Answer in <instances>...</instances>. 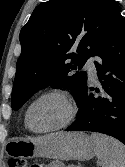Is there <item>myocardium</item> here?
Wrapping results in <instances>:
<instances>
[{
  "label": "myocardium",
  "instance_id": "1",
  "mask_svg": "<svg viewBox=\"0 0 125 167\" xmlns=\"http://www.w3.org/2000/svg\"><path fill=\"white\" fill-rule=\"evenodd\" d=\"M48 97H56L63 102V104L66 107L65 117L60 123L56 124L55 126H52V127H49L43 130H36L32 128V126L30 125V112L32 108L34 107V105H36L39 101L45 98H48ZM75 115H76V107L69 93L60 88H52V89H49L43 92L39 96H37L29 104L25 112V123H26L27 128L31 130L32 132L38 133V134H47V133L58 131L60 129L67 127L73 121V119L75 118Z\"/></svg>",
  "mask_w": 125,
  "mask_h": 167
}]
</instances>
